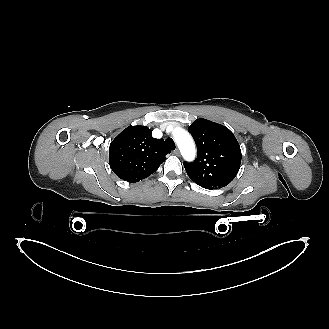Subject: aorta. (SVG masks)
I'll return each mask as SVG.
<instances>
[{"label": "aorta", "mask_w": 329, "mask_h": 329, "mask_svg": "<svg viewBox=\"0 0 329 329\" xmlns=\"http://www.w3.org/2000/svg\"><path fill=\"white\" fill-rule=\"evenodd\" d=\"M175 143L186 161H191L196 156L195 143L191 135L184 129L177 127L173 130Z\"/></svg>", "instance_id": "1"}]
</instances>
